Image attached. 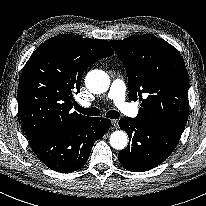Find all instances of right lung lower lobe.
<instances>
[{"instance_id": "obj_1", "label": "right lung lower lobe", "mask_w": 206, "mask_h": 206, "mask_svg": "<svg viewBox=\"0 0 206 206\" xmlns=\"http://www.w3.org/2000/svg\"><path fill=\"white\" fill-rule=\"evenodd\" d=\"M106 118H88L60 132L29 140L38 158L50 169L70 173L83 167L92 146L110 128Z\"/></svg>"}]
</instances>
